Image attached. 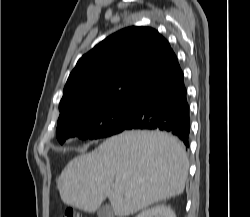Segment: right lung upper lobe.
Wrapping results in <instances>:
<instances>
[{
	"instance_id": "1",
	"label": "right lung upper lobe",
	"mask_w": 250,
	"mask_h": 217,
	"mask_svg": "<svg viewBox=\"0 0 250 217\" xmlns=\"http://www.w3.org/2000/svg\"><path fill=\"white\" fill-rule=\"evenodd\" d=\"M167 40L149 27H128L83 55L70 73L58 122L98 105L135 99L178 66Z\"/></svg>"
}]
</instances>
